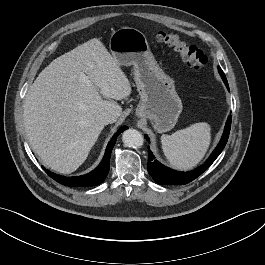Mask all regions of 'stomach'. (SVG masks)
Instances as JSON below:
<instances>
[{
	"mask_svg": "<svg viewBox=\"0 0 265 265\" xmlns=\"http://www.w3.org/2000/svg\"><path fill=\"white\" fill-rule=\"evenodd\" d=\"M109 48L119 66L134 68L140 94L136 115L149 119L159 133L171 130L182 112V102L173 80L157 64L145 35L131 27L118 29L110 38Z\"/></svg>",
	"mask_w": 265,
	"mask_h": 265,
	"instance_id": "0dacf381",
	"label": "stomach"
}]
</instances>
